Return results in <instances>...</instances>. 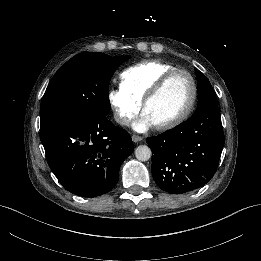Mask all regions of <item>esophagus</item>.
I'll list each match as a JSON object with an SVG mask.
<instances>
[{
  "instance_id": "obj_1",
  "label": "esophagus",
  "mask_w": 261,
  "mask_h": 261,
  "mask_svg": "<svg viewBox=\"0 0 261 261\" xmlns=\"http://www.w3.org/2000/svg\"><path fill=\"white\" fill-rule=\"evenodd\" d=\"M131 138H132V141L133 142H139V141H142V137L141 136H139V135H132L131 136Z\"/></svg>"
}]
</instances>
